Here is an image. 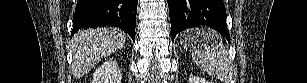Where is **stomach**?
<instances>
[{
    "instance_id": "1",
    "label": "stomach",
    "mask_w": 307,
    "mask_h": 83,
    "mask_svg": "<svg viewBox=\"0 0 307 83\" xmlns=\"http://www.w3.org/2000/svg\"><path fill=\"white\" fill-rule=\"evenodd\" d=\"M192 34H194V31L188 30L184 32L180 37V42L186 49L192 50L194 48V41L191 39Z\"/></svg>"
}]
</instances>
